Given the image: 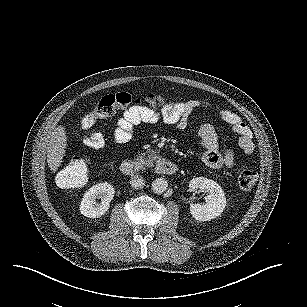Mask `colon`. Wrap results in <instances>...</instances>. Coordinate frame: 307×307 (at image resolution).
Wrapping results in <instances>:
<instances>
[{
  "label": "colon",
  "mask_w": 307,
  "mask_h": 307,
  "mask_svg": "<svg viewBox=\"0 0 307 307\" xmlns=\"http://www.w3.org/2000/svg\"><path fill=\"white\" fill-rule=\"evenodd\" d=\"M166 103L160 95H148L144 100L133 98L127 93H118L103 97L81 120L82 126L91 128L98 119L106 118L117 111L128 109L132 106H145L155 108ZM83 143L94 149L105 146V138L100 132H89L83 137ZM89 177V161L84 157H76L64 166L56 175V183L61 188H76L84 185ZM258 180L255 168L244 165L238 172V184L243 190L253 188Z\"/></svg>",
  "instance_id": "5ec220e1"
}]
</instances>
